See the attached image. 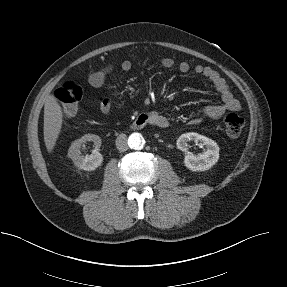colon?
I'll list each match as a JSON object with an SVG mask.
<instances>
[{"mask_svg":"<svg viewBox=\"0 0 287 287\" xmlns=\"http://www.w3.org/2000/svg\"><path fill=\"white\" fill-rule=\"evenodd\" d=\"M82 94V88L74 82H66L55 91V97L61 104L65 116L71 117L77 112ZM244 125V118L237 113H229L224 119L226 133L231 137L238 136Z\"/></svg>","mask_w":287,"mask_h":287,"instance_id":"5ec220e1","label":"colon"}]
</instances>
